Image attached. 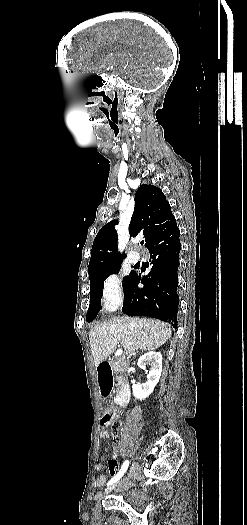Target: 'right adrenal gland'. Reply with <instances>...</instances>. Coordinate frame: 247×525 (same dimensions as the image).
<instances>
[{"mask_svg":"<svg viewBox=\"0 0 247 525\" xmlns=\"http://www.w3.org/2000/svg\"><path fill=\"white\" fill-rule=\"evenodd\" d=\"M139 349H137V351H134V353H131V355H129V357H132V355H136V353H138Z\"/></svg>","mask_w":247,"mask_h":525,"instance_id":"obj_1","label":"right adrenal gland"}]
</instances>
